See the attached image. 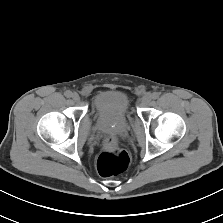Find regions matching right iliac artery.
<instances>
[{
  "label": "right iliac artery",
  "mask_w": 223,
  "mask_h": 223,
  "mask_svg": "<svg viewBox=\"0 0 223 223\" xmlns=\"http://www.w3.org/2000/svg\"><path fill=\"white\" fill-rule=\"evenodd\" d=\"M64 95L67 97V98H70L72 96V92L67 90L65 91Z\"/></svg>",
  "instance_id": "82829eb1"
}]
</instances>
